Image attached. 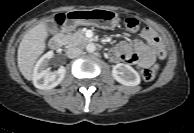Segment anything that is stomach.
<instances>
[{"label": "stomach", "instance_id": "0dacf381", "mask_svg": "<svg viewBox=\"0 0 194 133\" xmlns=\"http://www.w3.org/2000/svg\"><path fill=\"white\" fill-rule=\"evenodd\" d=\"M119 22L118 14L107 9L74 10L69 13L67 27L93 25L102 29H113Z\"/></svg>", "mask_w": 194, "mask_h": 133}]
</instances>
